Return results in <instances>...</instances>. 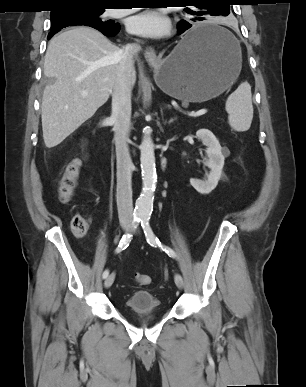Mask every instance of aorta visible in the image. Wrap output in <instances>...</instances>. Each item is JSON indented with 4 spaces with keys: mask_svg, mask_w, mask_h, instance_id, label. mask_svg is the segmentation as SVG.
<instances>
[{
    "mask_svg": "<svg viewBox=\"0 0 306 387\" xmlns=\"http://www.w3.org/2000/svg\"><path fill=\"white\" fill-rule=\"evenodd\" d=\"M140 162L142 190L135 203V215L139 218H148L153 211L154 192L157 182L154 144L148 131L144 132L140 146Z\"/></svg>",
    "mask_w": 306,
    "mask_h": 387,
    "instance_id": "1",
    "label": "aorta"
}]
</instances>
